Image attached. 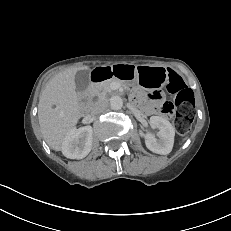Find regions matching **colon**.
I'll use <instances>...</instances> for the list:
<instances>
[{"instance_id":"colon-1","label":"colon","mask_w":231,"mask_h":231,"mask_svg":"<svg viewBox=\"0 0 231 231\" xmlns=\"http://www.w3.org/2000/svg\"><path fill=\"white\" fill-rule=\"evenodd\" d=\"M169 91L174 95V102L160 101L156 108L164 114L174 112V126L179 135H185L195 116V96L184 80L173 73L169 78Z\"/></svg>"}]
</instances>
